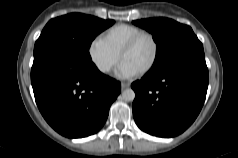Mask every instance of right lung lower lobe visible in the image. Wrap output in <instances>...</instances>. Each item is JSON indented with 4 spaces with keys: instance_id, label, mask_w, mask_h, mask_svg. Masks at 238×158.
Wrapping results in <instances>:
<instances>
[{
    "instance_id": "98d812e1",
    "label": "right lung lower lobe",
    "mask_w": 238,
    "mask_h": 158,
    "mask_svg": "<svg viewBox=\"0 0 238 158\" xmlns=\"http://www.w3.org/2000/svg\"><path fill=\"white\" fill-rule=\"evenodd\" d=\"M31 84L45 120L68 138L98 132L121 92L120 82L102 74L92 61L57 46L34 54Z\"/></svg>"
}]
</instances>
